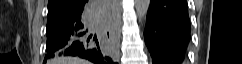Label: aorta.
<instances>
[{
    "label": "aorta",
    "mask_w": 242,
    "mask_h": 64,
    "mask_svg": "<svg viewBox=\"0 0 242 64\" xmlns=\"http://www.w3.org/2000/svg\"><path fill=\"white\" fill-rule=\"evenodd\" d=\"M150 6V0H136L135 8L139 20L146 17Z\"/></svg>",
    "instance_id": "aorta-1"
}]
</instances>
